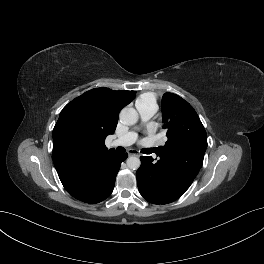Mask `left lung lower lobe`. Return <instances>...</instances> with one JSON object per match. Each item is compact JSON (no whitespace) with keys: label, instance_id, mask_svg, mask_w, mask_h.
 <instances>
[{"label":"left lung lower lobe","instance_id":"1","mask_svg":"<svg viewBox=\"0 0 264 264\" xmlns=\"http://www.w3.org/2000/svg\"><path fill=\"white\" fill-rule=\"evenodd\" d=\"M157 159L141 156L137 170L140 194L153 204H167L178 199L191 185L203 164L204 154L187 160L186 152L156 153Z\"/></svg>","mask_w":264,"mask_h":264}]
</instances>
